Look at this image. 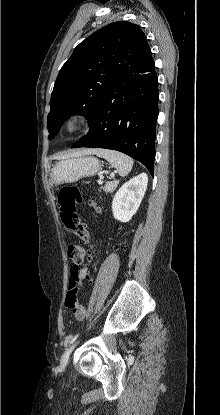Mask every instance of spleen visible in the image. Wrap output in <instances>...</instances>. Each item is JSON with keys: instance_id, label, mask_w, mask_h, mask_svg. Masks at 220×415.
<instances>
[{"instance_id": "1", "label": "spleen", "mask_w": 220, "mask_h": 415, "mask_svg": "<svg viewBox=\"0 0 220 415\" xmlns=\"http://www.w3.org/2000/svg\"><path fill=\"white\" fill-rule=\"evenodd\" d=\"M98 157L106 159L120 174V176L125 177L129 174L133 166V160L118 151L99 149L95 151Z\"/></svg>"}]
</instances>
